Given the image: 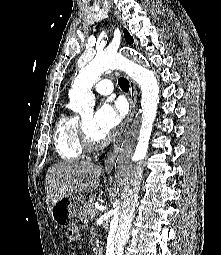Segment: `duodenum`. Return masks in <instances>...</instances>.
Instances as JSON below:
<instances>
[{"label":"duodenum","instance_id":"obj_1","mask_svg":"<svg viewBox=\"0 0 221 255\" xmlns=\"http://www.w3.org/2000/svg\"><path fill=\"white\" fill-rule=\"evenodd\" d=\"M94 255H102V252L100 250H97Z\"/></svg>","mask_w":221,"mask_h":255}]
</instances>
